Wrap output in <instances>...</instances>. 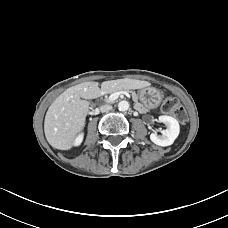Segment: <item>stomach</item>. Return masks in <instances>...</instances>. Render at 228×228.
Here are the masks:
<instances>
[{
  "mask_svg": "<svg viewBox=\"0 0 228 228\" xmlns=\"http://www.w3.org/2000/svg\"><path fill=\"white\" fill-rule=\"evenodd\" d=\"M163 99L161 91L154 87H144L139 90V100L144 106L150 108L157 107Z\"/></svg>",
  "mask_w": 228,
  "mask_h": 228,
  "instance_id": "0dacf381",
  "label": "stomach"
}]
</instances>
